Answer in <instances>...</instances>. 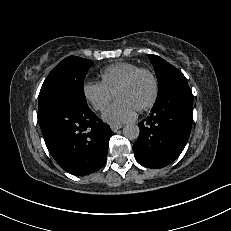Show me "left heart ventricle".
Segmentation results:
<instances>
[{
    "mask_svg": "<svg viewBox=\"0 0 231 231\" xmlns=\"http://www.w3.org/2000/svg\"><path fill=\"white\" fill-rule=\"evenodd\" d=\"M152 81L148 75H140L130 86L117 93L118 99H123L136 110L145 104L152 94Z\"/></svg>",
    "mask_w": 231,
    "mask_h": 231,
    "instance_id": "obj_1",
    "label": "left heart ventricle"
}]
</instances>
